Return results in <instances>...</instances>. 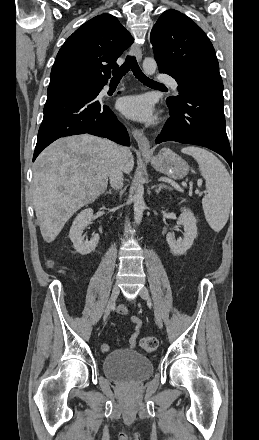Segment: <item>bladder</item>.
I'll return each instance as SVG.
<instances>
[{"instance_id":"1","label":"bladder","mask_w":259,"mask_h":440,"mask_svg":"<svg viewBox=\"0 0 259 440\" xmlns=\"http://www.w3.org/2000/svg\"><path fill=\"white\" fill-rule=\"evenodd\" d=\"M103 372L109 379L124 383H141L153 374V363L144 354L135 350H115L105 355Z\"/></svg>"}]
</instances>
